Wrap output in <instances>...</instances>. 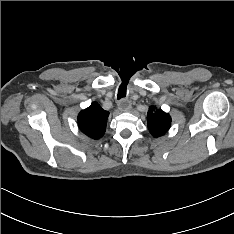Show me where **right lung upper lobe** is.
<instances>
[{"mask_svg": "<svg viewBox=\"0 0 234 234\" xmlns=\"http://www.w3.org/2000/svg\"><path fill=\"white\" fill-rule=\"evenodd\" d=\"M108 116V111L93 102L78 114V126L85 135L92 139H99L105 133Z\"/></svg>", "mask_w": 234, "mask_h": 234, "instance_id": "obj_1", "label": "right lung upper lobe"}]
</instances>
